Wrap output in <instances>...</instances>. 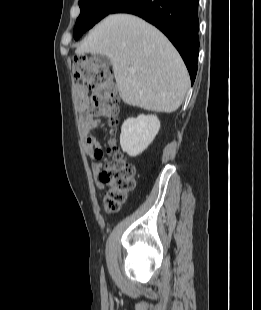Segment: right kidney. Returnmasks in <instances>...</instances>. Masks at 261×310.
Listing matches in <instances>:
<instances>
[{
    "mask_svg": "<svg viewBox=\"0 0 261 310\" xmlns=\"http://www.w3.org/2000/svg\"><path fill=\"white\" fill-rule=\"evenodd\" d=\"M160 128L156 115H139L128 118L121 128L120 145L131 157L141 154L154 140Z\"/></svg>",
    "mask_w": 261,
    "mask_h": 310,
    "instance_id": "right-kidney-1",
    "label": "right kidney"
}]
</instances>
